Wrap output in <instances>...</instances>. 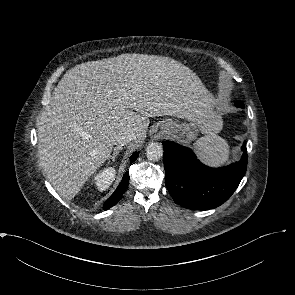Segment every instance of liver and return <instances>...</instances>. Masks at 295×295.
<instances>
[{"instance_id": "liver-1", "label": "liver", "mask_w": 295, "mask_h": 295, "mask_svg": "<svg viewBox=\"0 0 295 295\" xmlns=\"http://www.w3.org/2000/svg\"><path fill=\"white\" fill-rule=\"evenodd\" d=\"M208 92L182 63L162 56L121 54L68 70L38 121L39 158L66 200L109 158L124 132L142 142L150 117L187 118L202 110ZM213 126L203 132L215 134Z\"/></svg>"}]
</instances>
